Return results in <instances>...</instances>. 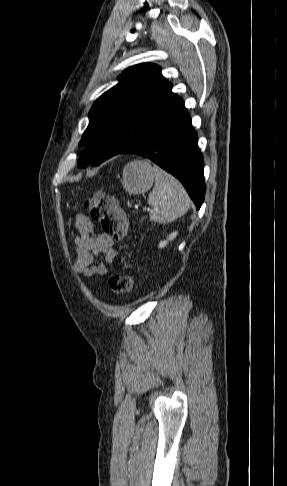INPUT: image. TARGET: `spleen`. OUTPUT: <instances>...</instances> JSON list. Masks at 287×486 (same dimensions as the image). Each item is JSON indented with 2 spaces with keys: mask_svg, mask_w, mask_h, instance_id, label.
I'll use <instances>...</instances> for the list:
<instances>
[{
  "mask_svg": "<svg viewBox=\"0 0 287 486\" xmlns=\"http://www.w3.org/2000/svg\"><path fill=\"white\" fill-rule=\"evenodd\" d=\"M155 186L148 196L151 205L150 220L170 223L183 216L190 208V198L183 185L172 175L154 166Z\"/></svg>",
  "mask_w": 287,
  "mask_h": 486,
  "instance_id": "3e777b00",
  "label": "spleen"
}]
</instances>
